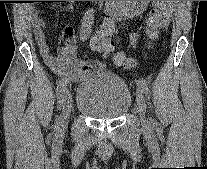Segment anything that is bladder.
<instances>
[{"label": "bladder", "instance_id": "bladder-1", "mask_svg": "<svg viewBox=\"0 0 207 169\" xmlns=\"http://www.w3.org/2000/svg\"><path fill=\"white\" fill-rule=\"evenodd\" d=\"M131 103L132 93L128 85L108 72L87 78L77 87V110L93 118H119L129 110Z\"/></svg>", "mask_w": 207, "mask_h": 169}]
</instances>
